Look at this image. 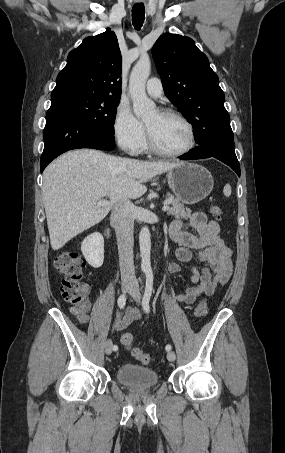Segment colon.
I'll return each mask as SVG.
<instances>
[{"label":"colon","instance_id":"colon-1","mask_svg":"<svg viewBox=\"0 0 285 453\" xmlns=\"http://www.w3.org/2000/svg\"><path fill=\"white\" fill-rule=\"evenodd\" d=\"M210 213L217 219L222 216V208L218 205L210 206ZM56 270L63 275L61 281V292L63 298L74 305L78 313H85L88 308L89 291L82 282L84 277L85 262L83 258L74 252H63L54 261ZM209 310L207 300L203 298L195 308V316L201 318L207 315ZM121 343L130 350L132 356L143 364H150L152 357L144 353L140 348L133 346L134 337L130 332L121 335Z\"/></svg>","mask_w":285,"mask_h":453}]
</instances>
